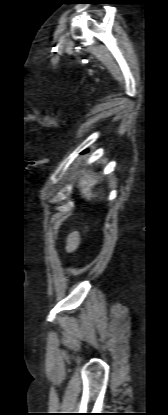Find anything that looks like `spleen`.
<instances>
[{
    "label": "spleen",
    "mask_w": 168,
    "mask_h": 415,
    "mask_svg": "<svg viewBox=\"0 0 168 415\" xmlns=\"http://www.w3.org/2000/svg\"><path fill=\"white\" fill-rule=\"evenodd\" d=\"M98 182L97 176L94 173L84 174L79 181V188L82 196L87 200L93 197L91 188Z\"/></svg>",
    "instance_id": "obj_1"
}]
</instances>
